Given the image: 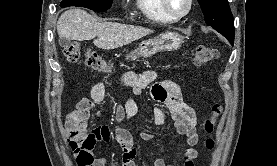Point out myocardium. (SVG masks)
<instances>
[{"label": "myocardium", "instance_id": "f54148a6", "mask_svg": "<svg viewBox=\"0 0 277 166\" xmlns=\"http://www.w3.org/2000/svg\"><path fill=\"white\" fill-rule=\"evenodd\" d=\"M187 2H188V5L186 10L182 13H176L170 8L168 0H160V4L164 12L174 20H179L181 18H184L191 12L193 7V0H187Z\"/></svg>", "mask_w": 277, "mask_h": 166}]
</instances>
